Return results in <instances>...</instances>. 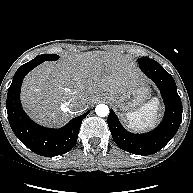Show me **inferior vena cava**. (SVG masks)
Segmentation results:
<instances>
[{"label": "inferior vena cava", "instance_id": "inferior-vena-cava-1", "mask_svg": "<svg viewBox=\"0 0 193 193\" xmlns=\"http://www.w3.org/2000/svg\"><path fill=\"white\" fill-rule=\"evenodd\" d=\"M69 107L71 109H83L85 107V102L79 99H71L69 102Z\"/></svg>", "mask_w": 193, "mask_h": 193}]
</instances>
